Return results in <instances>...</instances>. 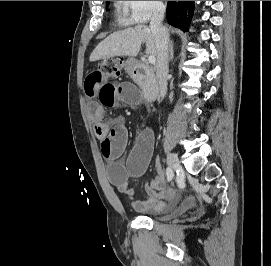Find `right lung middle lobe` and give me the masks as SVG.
I'll return each mask as SVG.
<instances>
[{
    "label": "right lung middle lobe",
    "mask_w": 271,
    "mask_h": 266,
    "mask_svg": "<svg viewBox=\"0 0 271 266\" xmlns=\"http://www.w3.org/2000/svg\"><path fill=\"white\" fill-rule=\"evenodd\" d=\"M109 3H110V1H107V2H106V6H108V5H109Z\"/></svg>",
    "instance_id": "1"
}]
</instances>
